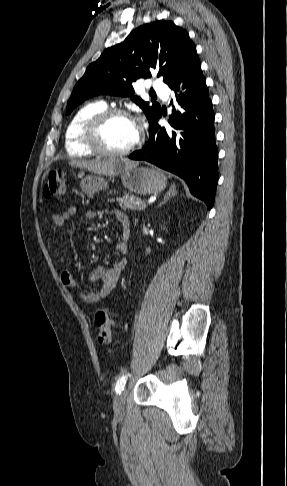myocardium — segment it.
<instances>
[{
  "label": "myocardium",
  "mask_w": 287,
  "mask_h": 486,
  "mask_svg": "<svg viewBox=\"0 0 287 486\" xmlns=\"http://www.w3.org/2000/svg\"><path fill=\"white\" fill-rule=\"evenodd\" d=\"M115 117L129 119L135 124L133 117L126 110L117 107L106 108L90 117L85 123L83 128V142L94 154L105 157H121L131 153L140 144L141 133L137 128L136 139L126 148L110 150L103 145L101 132L104 126Z\"/></svg>",
  "instance_id": "f54148a6"
}]
</instances>
